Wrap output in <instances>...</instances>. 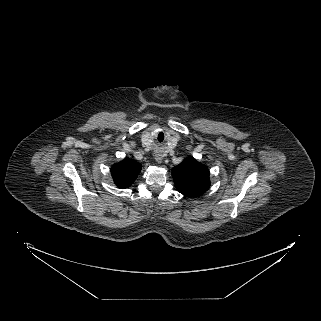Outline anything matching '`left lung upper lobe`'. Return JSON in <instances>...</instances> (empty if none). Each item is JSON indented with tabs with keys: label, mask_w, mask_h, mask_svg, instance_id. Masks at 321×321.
Returning a JSON list of instances; mask_svg holds the SVG:
<instances>
[{
	"label": "left lung upper lobe",
	"mask_w": 321,
	"mask_h": 321,
	"mask_svg": "<svg viewBox=\"0 0 321 321\" xmlns=\"http://www.w3.org/2000/svg\"><path fill=\"white\" fill-rule=\"evenodd\" d=\"M177 190L186 197L202 195L210 187L207 167L193 157H188L172 169Z\"/></svg>",
	"instance_id": "left-lung-upper-lobe-1"
}]
</instances>
